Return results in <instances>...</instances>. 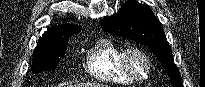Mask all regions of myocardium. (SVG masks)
<instances>
[{"mask_svg": "<svg viewBox=\"0 0 205 87\" xmlns=\"http://www.w3.org/2000/svg\"><path fill=\"white\" fill-rule=\"evenodd\" d=\"M132 55H138L145 60L146 65H147V71L144 76H139L132 70L131 64H130V58ZM120 64L125 74L134 81L146 80L150 76L152 67H153V63H152L150 55L142 48L136 47V46L125 48L122 51L121 56H120Z\"/></svg>", "mask_w": 205, "mask_h": 87, "instance_id": "myocardium-1", "label": "myocardium"}]
</instances>
